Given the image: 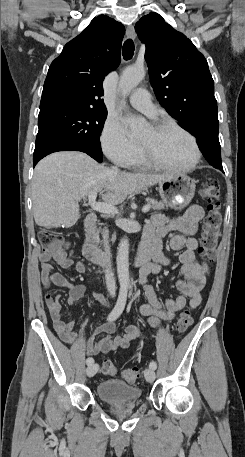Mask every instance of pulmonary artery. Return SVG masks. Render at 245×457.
<instances>
[{
    "label": "pulmonary artery",
    "mask_w": 245,
    "mask_h": 457,
    "mask_svg": "<svg viewBox=\"0 0 245 457\" xmlns=\"http://www.w3.org/2000/svg\"><path fill=\"white\" fill-rule=\"evenodd\" d=\"M129 103L137 110L153 116L156 114V109L151 101L150 93H147L146 86H137L136 94L128 97Z\"/></svg>",
    "instance_id": "1"
}]
</instances>
